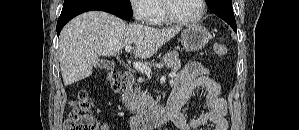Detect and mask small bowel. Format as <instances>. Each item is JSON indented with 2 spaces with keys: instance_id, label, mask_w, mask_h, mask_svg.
Returning <instances> with one entry per match:
<instances>
[{
  "instance_id": "obj_1",
  "label": "small bowel",
  "mask_w": 299,
  "mask_h": 130,
  "mask_svg": "<svg viewBox=\"0 0 299 130\" xmlns=\"http://www.w3.org/2000/svg\"><path fill=\"white\" fill-rule=\"evenodd\" d=\"M201 87L206 92L208 111L197 117L187 120L184 114L179 113L173 123L180 130H197L212 123L213 130H228L227 101L222 96L220 85L210 77L209 70L199 62L187 64L176 76L173 94L183 93L188 97L197 88ZM103 130H108L107 123H103Z\"/></svg>"
}]
</instances>
